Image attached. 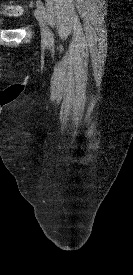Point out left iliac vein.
Instances as JSON below:
<instances>
[{
  "instance_id": "left-iliac-vein-1",
  "label": "left iliac vein",
  "mask_w": 133,
  "mask_h": 275,
  "mask_svg": "<svg viewBox=\"0 0 133 275\" xmlns=\"http://www.w3.org/2000/svg\"><path fill=\"white\" fill-rule=\"evenodd\" d=\"M34 15L40 25L41 30V38L44 43L49 42L50 39V30L48 28V25L46 23L45 15L42 13V11L37 7L35 9Z\"/></svg>"
}]
</instances>
